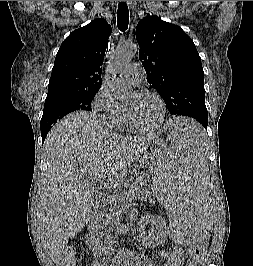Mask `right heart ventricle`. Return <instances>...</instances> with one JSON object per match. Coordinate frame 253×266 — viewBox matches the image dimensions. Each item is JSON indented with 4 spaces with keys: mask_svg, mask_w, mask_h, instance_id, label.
<instances>
[{
    "mask_svg": "<svg viewBox=\"0 0 253 266\" xmlns=\"http://www.w3.org/2000/svg\"><path fill=\"white\" fill-rule=\"evenodd\" d=\"M115 126L120 129H130L125 113L115 122Z\"/></svg>",
    "mask_w": 253,
    "mask_h": 266,
    "instance_id": "obj_1",
    "label": "right heart ventricle"
}]
</instances>
